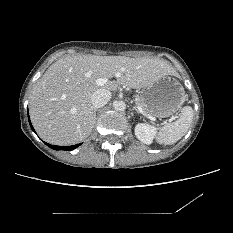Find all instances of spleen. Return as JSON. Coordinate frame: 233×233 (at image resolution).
<instances>
[{
    "label": "spleen",
    "instance_id": "3e777b00",
    "mask_svg": "<svg viewBox=\"0 0 233 233\" xmlns=\"http://www.w3.org/2000/svg\"><path fill=\"white\" fill-rule=\"evenodd\" d=\"M193 119V109L185 106L181 109L180 117L173 123L162 127L156 137L159 144L172 145L179 141L188 131Z\"/></svg>",
    "mask_w": 233,
    "mask_h": 233
}]
</instances>
